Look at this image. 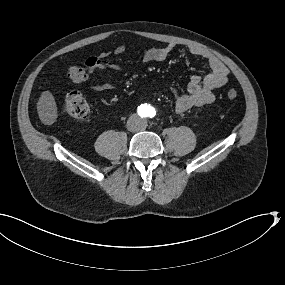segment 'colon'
<instances>
[{
    "label": "colon",
    "instance_id": "5ec220e1",
    "mask_svg": "<svg viewBox=\"0 0 285 285\" xmlns=\"http://www.w3.org/2000/svg\"><path fill=\"white\" fill-rule=\"evenodd\" d=\"M68 77L74 83L85 81L87 72L84 68L72 65L68 68ZM238 93L235 89H230L227 92V97L230 100L236 99ZM63 113L73 119L84 120L90 115L89 105L84 96L77 91L67 94L63 105Z\"/></svg>",
    "mask_w": 285,
    "mask_h": 285
}]
</instances>
